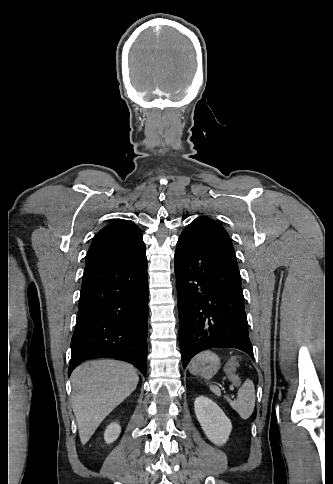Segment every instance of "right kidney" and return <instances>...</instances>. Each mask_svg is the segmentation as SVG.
Masks as SVG:
<instances>
[{
	"instance_id": "1",
	"label": "right kidney",
	"mask_w": 333,
	"mask_h": 484,
	"mask_svg": "<svg viewBox=\"0 0 333 484\" xmlns=\"http://www.w3.org/2000/svg\"><path fill=\"white\" fill-rule=\"evenodd\" d=\"M120 432H121V427L119 426V424L116 422H113L106 428L104 432V440L108 444L112 443L118 438Z\"/></svg>"
}]
</instances>
